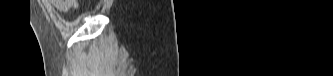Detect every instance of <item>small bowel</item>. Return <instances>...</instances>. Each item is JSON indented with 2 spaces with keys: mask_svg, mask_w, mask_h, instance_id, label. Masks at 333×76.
<instances>
[{
  "mask_svg": "<svg viewBox=\"0 0 333 76\" xmlns=\"http://www.w3.org/2000/svg\"><path fill=\"white\" fill-rule=\"evenodd\" d=\"M48 3L53 10L58 12L77 10L79 8L77 0H49Z\"/></svg>",
  "mask_w": 333,
  "mask_h": 76,
  "instance_id": "small-bowel-1",
  "label": "small bowel"
}]
</instances>
